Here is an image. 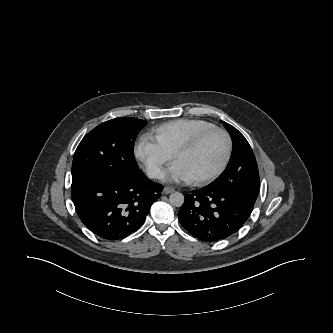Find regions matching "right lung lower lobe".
Instances as JSON below:
<instances>
[{
  "label": "right lung lower lobe",
  "mask_w": 333,
  "mask_h": 333,
  "mask_svg": "<svg viewBox=\"0 0 333 333\" xmlns=\"http://www.w3.org/2000/svg\"><path fill=\"white\" fill-rule=\"evenodd\" d=\"M163 186L136 171L127 179L95 176L72 183L71 196L82 223L106 240H120L144 223Z\"/></svg>",
  "instance_id": "obj_1"
}]
</instances>
